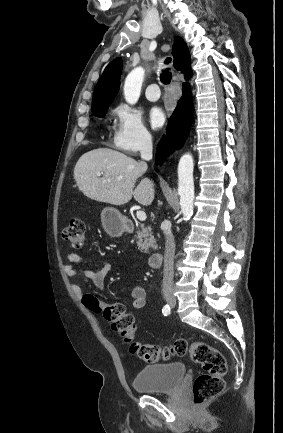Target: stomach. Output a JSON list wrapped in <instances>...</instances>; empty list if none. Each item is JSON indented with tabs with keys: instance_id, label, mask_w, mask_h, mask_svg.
I'll return each instance as SVG.
<instances>
[{
	"instance_id": "stomach-1",
	"label": "stomach",
	"mask_w": 283,
	"mask_h": 433,
	"mask_svg": "<svg viewBox=\"0 0 283 433\" xmlns=\"http://www.w3.org/2000/svg\"><path fill=\"white\" fill-rule=\"evenodd\" d=\"M103 219V227L111 237H121L126 231L127 217L121 214L117 208L113 206H106L101 212Z\"/></svg>"
}]
</instances>
